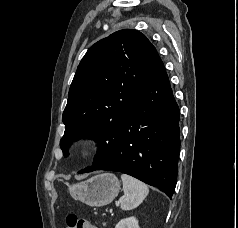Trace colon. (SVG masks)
I'll use <instances>...</instances> for the list:
<instances>
[{
    "mask_svg": "<svg viewBox=\"0 0 238 228\" xmlns=\"http://www.w3.org/2000/svg\"><path fill=\"white\" fill-rule=\"evenodd\" d=\"M66 224L68 228H98L88 219L78 216L76 214H69L66 217Z\"/></svg>",
    "mask_w": 238,
    "mask_h": 228,
    "instance_id": "5ec220e1",
    "label": "colon"
}]
</instances>
